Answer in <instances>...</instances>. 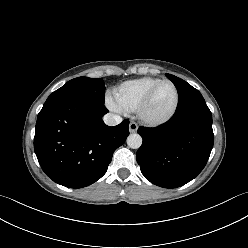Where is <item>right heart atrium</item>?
Instances as JSON below:
<instances>
[{
  "label": "right heart atrium",
  "instance_id": "1",
  "mask_svg": "<svg viewBox=\"0 0 248 248\" xmlns=\"http://www.w3.org/2000/svg\"><path fill=\"white\" fill-rule=\"evenodd\" d=\"M109 105L112 107V108H117L116 106H115V104L113 103V101H111V100H109ZM118 109V108H117Z\"/></svg>",
  "mask_w": 248,
  "mask_h": 248
}]
</instances>
